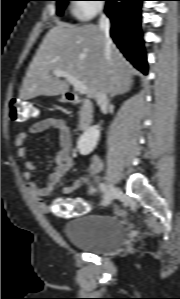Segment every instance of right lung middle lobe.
I'll list each match as a JSON object with an SVG mask.
<instances>
[{"label":"right lung middle lobe","instance_id":"obj_1","mask_svg":"<svg viewBox=\"0 0 180 299\" xmlns=\"http://www.w3.org/2000/svg\"><path fill=\"white\" fill-rule=\"evenodd\" d=\"M58 1V5H57V14L58 15H62L65 6L67 5V2L70 0H56Z\"/></svg>","mask_w":180,"mask_h":299}]
</instances>
